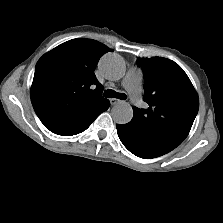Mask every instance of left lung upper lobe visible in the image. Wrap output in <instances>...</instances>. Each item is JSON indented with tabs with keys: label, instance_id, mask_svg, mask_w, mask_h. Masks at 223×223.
<instances>
[{
	"label": "left lung upper lobe",
	"instance_id": "1",
	"mask_svg": "<svg viewBox=\"0 0 223 223\" xmlns=\"http://www.w3.org/2000/svg\"><path fill=\"white\" fill-rule=\"evenodd\" d=\"M144 70L147 109L133 107L131 125L142 138L173 150L189 134L199 109L197 93L174 61L152 57L138 59Z\"/></svg>",
	"mask_w": 223,
	"mask_h": 223
}]
</instances>
